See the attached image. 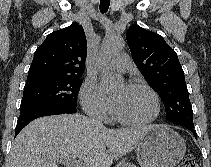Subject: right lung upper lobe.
<instances>
[{
    "label": "right lung upper lobe",
    "mask_w": 211,
    "mask_h": 167,
    "mask_svg": "<svg viewBox=\"0 0 211 167\" xmlns=\"http://www.w3.org/2000/svg\"><path fill=\"white\" fill-rule=\"evenodd\" d=\"M87 43L84 30L77 22L49 34L37 48L27 81L45 77L82 76Z\"/></svg>",
    "instance_id": "obj_1"
}]
</instances>
